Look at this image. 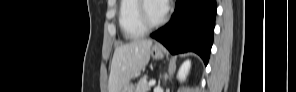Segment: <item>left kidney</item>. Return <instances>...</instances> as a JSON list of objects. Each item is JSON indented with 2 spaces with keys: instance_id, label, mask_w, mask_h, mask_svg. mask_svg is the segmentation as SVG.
<instances>
[{
  "instance_id": "5707ae66",
  "label": "left kidney",
  "mask_w": 296,
  "mask_h": 92,
  "mask_svg": "<svg viewBox=\"0 0 296 92\" xmlns=\"http://www.w3.org/2000/svg\"><path fill=\"white\" fill-rule=\"evenodd\" d=\"M190 67H191V61L190 60H186L182 63V65L180 66L179 68V71H178V79L179 81H185L186 80V77L189 73V70H190Z\"/></svg>"
}]
</instances>
